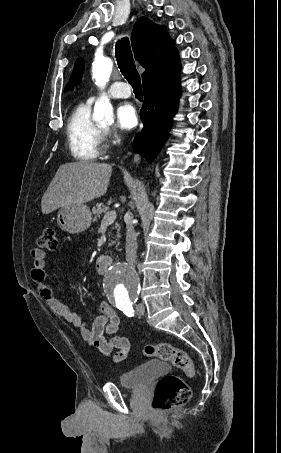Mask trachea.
<instances>
[{
    "label": "trachea",
    "mask_w": 281,
    "mask_h": 453,
    "mask_svg": "<svg viewBox=\"0 0 281 453\" xmlns=\"http://www.w3.org/2000/svg\"><path fill=\"white\" fill-rule=\"evenodd\" d=\"M116 60L122 75L128 80L133 88L135 95L142 98L143 91L141 86L140 75L136 69L133 59L130 42L128 38H122L116 43Z\"/></svg>",
    "instance_id": "1"
}]
</instances>
